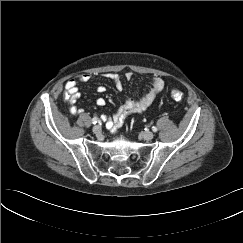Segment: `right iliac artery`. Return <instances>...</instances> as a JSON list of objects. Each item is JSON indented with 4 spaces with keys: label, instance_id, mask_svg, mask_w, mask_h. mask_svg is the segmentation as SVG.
Wrapping results in <instances>:
<instances>
[{
    "label": "right iliac artery",
    "instance_id": "82829eb1",
    "mask_svg": "<svg viewBox=\"0 0 243 243\" xmlns=\"http://www.w3.org/2000/svg\"><path fill=\"white\" fill-rule=\"evenodd\" d=\"M98 122H99L98 117H94V118L92 119V123H93V124H96V123H98Z\"/></svg>",
    "mask_w": 243,
    "mask_h": 243
}]
</instances>
